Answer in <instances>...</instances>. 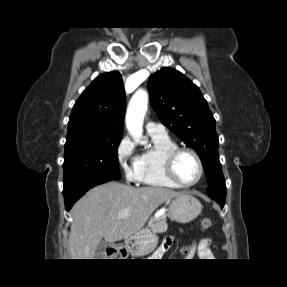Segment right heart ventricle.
Segmentation results:
<instances>
[{"label":"right heart ventricle","instance_id":"obj_1","mask_svg":"<svg viewBox=\"0 0 287 287\" xmlns=\"http://www.w3.org/2000/svg\"><path fill=\"white\" fill-rule=\"evenodd\" d=\"M152 147L138 156V179L145 185L178 188L166 174L164 158L167 152L178 147L177 144L167 136L150 135Z\"/></svg>","mask_w":287,"mask_h":287}]
</instances>
